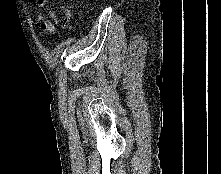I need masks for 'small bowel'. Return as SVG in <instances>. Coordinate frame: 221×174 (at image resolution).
<instances>
[{
	"instance_id": "obj_1",
	"label": "small bowel",
	"mask_w": 221,
	"mask_h": 174,
	"mask_svg": "<svg viewBox=\"0 0 221 174\" xmlns=\"http://www.w3.org/2000/svg\"><path fill=\"white\" fill-rule=\"evenodd\" d=\"M35 3H37L38 6H40L43 2L41 0H34ZM37 19L41 23V27L44 31L55 34L56 33V27L54 23L49 20L44 13L38 8L36 10ZM52 19L54 22H58V19L55 16H52ZM71 19V12L69 10H65L63 13V19H62V26L65 28Z\"/></svg>"
}]
</instances>
